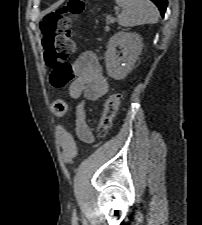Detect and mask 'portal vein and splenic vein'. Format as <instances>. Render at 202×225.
<instances>
[{
  "label": "portal vein and splenic vein",
  "instance_id": "18ae733b",
  "mask_svg": "<svg viewBox=\"0 0 202 225\" xmlns=\"http://www.w3.org/2000/svg\"><path fill=\"white\" fill-rule=\"evenodd\" d=\"M116 13L118 14L119 13V9H116ZM110 21L113 23L115 21V19L113 17L109 18Z\"/></svg>",
  "mask_w": 202,
  "mask_h": 225
}]
</instances>
